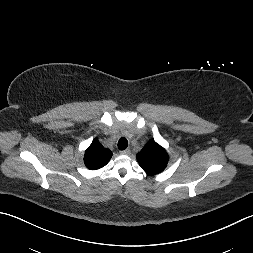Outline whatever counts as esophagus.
I'll list each match as a JSON object with an SVG mask.
<instances>
[{
	"instance_id": "34e87169",
	"label": "esophagus",
	"mask_w": 253,
	"mask_h": 253,
	"mask_svg": "<svg viewBox=\"0 0 253 253\" xmlns=\"http://www.w3.org/2000/svg\"><path fill=\"white\" fill-rule=\"evenodd\" d=\"M121 155H129L130 154V149L122 150L120 151Z\"/></svg>"
}]
</instances>
